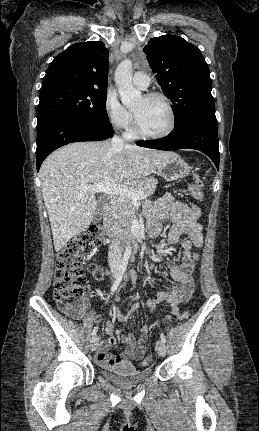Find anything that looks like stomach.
<instances>
[{"label": "stomach", "mask_w": 259, "mask_h": 431, "mask_svg": "<svg viewBox=\"0 0 259 431\" xmlns=\"http://www.w3.org/2000/svg\"><path fill=\"white\" fill-rule=\"evenodd\" d=\"M191 167L178 154L167 157L157 170L158 175L166 181H175L187 176Z\"/></svg>", "instance_id": "obj_1"}]
</instances>
